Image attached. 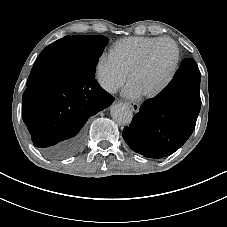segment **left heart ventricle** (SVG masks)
<instances>
[{"label":"left heart ventricle","instance_id":"1","mask_svg":"<svg viewBox=\"0 0 227 227\" xmlns=\"http://www.w3.org/2000/svg\"><path fill=\"white\" fill-rule=\"evenodd\" d=\"M174 58V46L168 42L159 43L151 52L144 68L134 75L130 83L142 95L153 91L166 78Z\"/></svg>","mask_w":227,"mask_h":227}]
</instances>
